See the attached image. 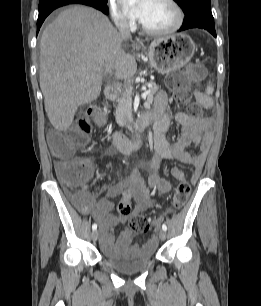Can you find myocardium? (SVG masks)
Wrapping results in <instances>:
<instances>
[{
	"mask_svg": "<svg viewBox=\"0 0 261 306\" xmlns=\"http://www.w3.org/2000/svg\"><path fill=\"white\" fill-rule=\"evenodd\" d=\"M164 1L167 4H169L174 10V13H175L174 22L170 26L165 27V28H151V27L144 25L139 20L138 26L143 32L147 34H151V35H167V34L176 32L182 27L184 23V11L182 7L180 6V4L176 0H164Z\"/></svg>",
	"mask_w": 261,
	"mask_h": 306,
	"instance_id": "myocardium-1",
	"label": "myocardium"
}]
</instances>
